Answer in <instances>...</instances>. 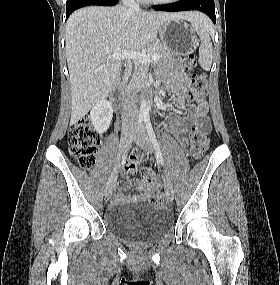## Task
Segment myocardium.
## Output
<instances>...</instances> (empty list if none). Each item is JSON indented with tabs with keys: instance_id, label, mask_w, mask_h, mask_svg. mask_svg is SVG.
I'll use <instances>...</instances> for the list:
<instances>
[{
	"instance_id": "obj_1",
	"label": "myocardium",
	"mask_w": 280,
	"mask_h": 285,
	"mask_svg": "<svg viewBox=\"0 0 280 285\" xmlns=\"http://www.w3.org/2000/svg\"><path fill=\"white\" fill-rule=\"evenodd\" d=\"M149 1L155 4L166 5V4L175 3L178 0H149Z\"/></svg>"
}]
</instances>
